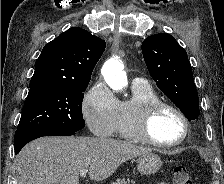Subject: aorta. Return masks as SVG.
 Instances as JSON below:
<instances>
[{"instance_id":"obj_1","label":"aorta","mask_w":224,"mask_h":184,"mask_svg":"<svg viewBox=\"0 0 224 184\" xmlns=\"http://www.w3.org/2000/svg\"><path fill=\"white\" fill-rule=\"evenodd\" d=\"M123 69L124 65L119 59L108 60L102 68L104 80L113 90H122L127 85V76Z\"/></svg>"}]
</instances>
